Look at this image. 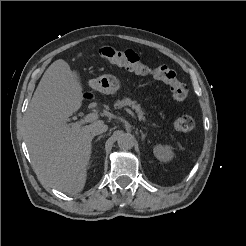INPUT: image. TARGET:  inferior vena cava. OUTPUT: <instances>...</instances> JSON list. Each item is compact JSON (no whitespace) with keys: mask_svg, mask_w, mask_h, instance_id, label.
<instances>
[{"mask_svg":"<svg viewBox=\"0 0 246 246\" xmlns=\"http://www.w3.org/2000/svg\"><path fill=\"white\" fill-rule=\"evenodd\" d=\"M107 130H108V126L104 124V122L98 121L92 124L91 135L96 136L106 132Z\"/></svg>","mask_w":246,"mask_h":246,"instance_id":"1","label":"inferior vena cava"}]
</instances>
